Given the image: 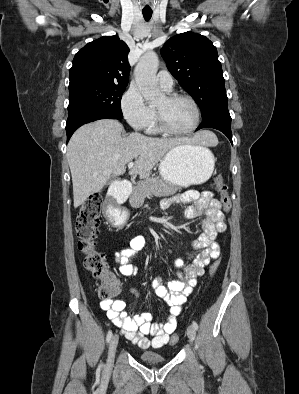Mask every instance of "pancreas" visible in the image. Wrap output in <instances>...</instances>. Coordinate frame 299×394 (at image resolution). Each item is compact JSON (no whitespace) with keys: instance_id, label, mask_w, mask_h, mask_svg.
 Returning a JSON list of instances; mask_svg holds the SVG:
<instances>
[{"instance_id":"cf45deb5","label":"pancreas","mask_w":299,"mask_h":394,"mask_svg":"<svg viewBox=\"0 0 299 394\" xmlns=\"http://www.w3.org/2000/svg\"><path fill=\"white\" fill-rule=\"evenodd\" d=\"M178 190V186L168 184L159 177L147 178L134 187L130 204L132 207H140L147 197L152 195L157 197L169 196L175 194Z\"/></svg>"}]
</instances>
